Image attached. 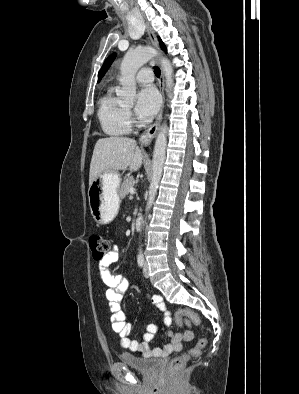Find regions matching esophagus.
<instances>
[{
  "label": "esophagus",
  "instance_id": "obj_1",
  "mask_svg": "<svg viewBox=\"0 0 299 394\" xmlns=\"http://www.w3.org/2000/svg\"><path fill=\"white\" fill-rule=\"evenodd\" d=\"M146 29H147V33H148L151 43L153 44V46L155 48H158V41H157V38H156V35H155L153 29L149 25H146ZM159 89H160V92H161V95L163 98V102H162L160 111H159L154 123L140 135V138H139L140 143L144 146H148L151 143V141L153 140V138L155 137V135L159 129L160 122L162 119V113H163V107H164V73H163L162 69H161V76L159 79Z\"/></svg>",
  "mask_w": 299,
  "mask_h": 394
}]
</instances>
